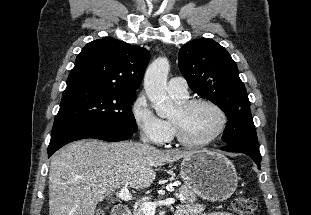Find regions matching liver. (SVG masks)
Masks as SVG:
<instances>
[{"mask_svg": "<svg viewBox=\"0 0 311 215\" xmlns=\"http://www.w3.org/2000/svg\"><path fill=\"white\" fill-rule=\"evenodd\" d=\"M192 153L131 141L70 143L51 157L49 215H94L111 192L123 185L146 189L155 180V167Z\"/></svg>", "mask_w": 311, "mask_h": 215, "instance_id": "1", "label": "liver"}]
</instances>
